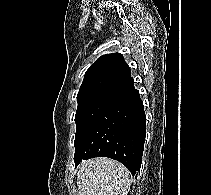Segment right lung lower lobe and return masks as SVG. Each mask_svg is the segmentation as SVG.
Wrapping results in <instances>:
<instances>
[{
  "instance_id": "1",
  "label": "right lung lower lobe",
  "mask_w": 211,
  "mask_h": 195,
  "mask_svg": "<svg viewBox=\"0 0 211 195\" xmlns=\"http://www.w3.org/2000/svg\"><path fill=\"white\" fill-rule=\"evenodd\" d=\"M145 134V111L133 83L110 97L75 149L74 162L77 166L82 160L109 157L125 165L134 176L141 167Z\"/></svg>"
}]
</instances>
